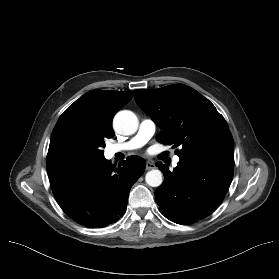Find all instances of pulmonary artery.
Instances as JSON below:
<instances>
[{
	"instance_id": "pulmonary-artery-1",
	"label": "pulmonary artery",
	"mask_w": 279,
	"mask_h": 279,
	"mask_svg": "<svg viewBox=\"0 0 279 279\" xmlns=\"http://www.w3.org/2000/svg\"><path fill=\"white\" fill-rule=\"evenodd\" d=\"M156 124L152 119H144L139 125L138 132L135 136L126 142L109 145L106 149L108 157H112L117 153L127 152L138 149L147 143L148 140L154 135ZM180 159L178 156L173 158V165H177Z\"/></svg>"
}]
</instances>
